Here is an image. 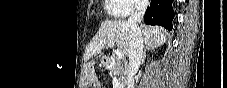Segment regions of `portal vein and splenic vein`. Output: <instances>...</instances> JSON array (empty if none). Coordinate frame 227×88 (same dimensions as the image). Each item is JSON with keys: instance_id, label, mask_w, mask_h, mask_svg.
Masks as SVG:
<instances>
[{"instance_id": "portal-vein-and-splenic-vein-1", "label": "portal vein and splenic vein", "mask_w": 227, "mask_h": 88, "mask_svg": "<svg viewBox=\"0 0 227 88\" xmlns=\"http://www.w3.org/2000/svg\"><path fill=\"white\" fill-rule=\"evenodd\" d=\"M108 47H114V42H109V43H108ZM114 54H115L117 57H119V58H123V57H124L123 52H122L121 50H119V49H116V50L114 51Z\"/></svg>"}]
</instances>
